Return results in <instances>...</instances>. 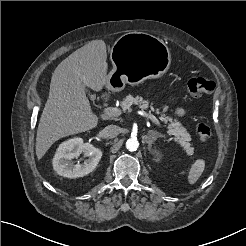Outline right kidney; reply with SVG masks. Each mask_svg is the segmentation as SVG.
<instances>
[{"label": "right kidney", "mask_w": 246, "mask_h": 246, "mask_svg": "<svg viewBox=\"0 0 246 246\" xmlns=\"http://www.w3.org/2000/svg\"><path fill=\"white\" fill-rule=\"evenodd\" d=\"M81 154L88 157L82 163L73 164L71 159ZM102 157V151L90 143H84L80 137H74L61 143L53 158V169L67 178L83 177L92 172Z\"/></svg>", "instance_id": "1"}]
</instances>
